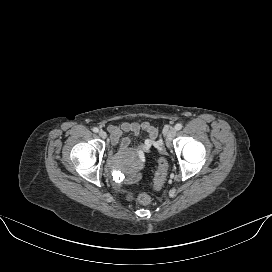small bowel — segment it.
<instances>
[{"mask_svg": "<svg viewBox=\"0 0 272 272\" xmlns=\"http://www.w3.org/2000/svg\"><path fill=\"white\" fill-rule=\"evenodd\" d=\"M108 130L111 134V143L113 146H118L123 151H131L136 154L141 160L151 152L153 147H160L161 144L157 141V130L149 122H124L120 126L110 125ZM131 133L139 135L146 134L147 138L136 149H130V139L123 137V134Z\"/></svg>", "mask_w": 272, "mask_h": 272, "instance_id": "1", "label": "small bowel"}]
</instances>
